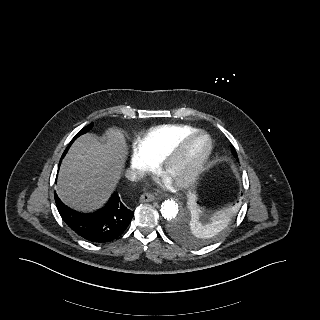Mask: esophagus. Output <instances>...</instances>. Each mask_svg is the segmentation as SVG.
Wrapping results in <instances>:
<instances>
[{
  "instance_id": "1",
  "label": "esophagus",
  "mask_w": 320,
  "mask_h": 320,
  "mask_svg": "<svg viewBox=\"0 0 320 320\" xmlns=\"http://www.w3.org/2000/svg\"><path fill=\"white\" fill-rule=\"evenodd\" d=\"M155 199V196L150 193H144L140 196V202H150Z\"/></svg>"
}]
</instances>
